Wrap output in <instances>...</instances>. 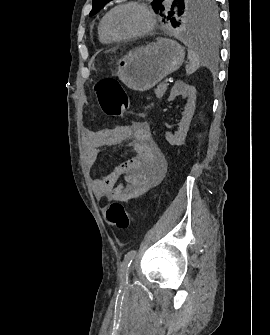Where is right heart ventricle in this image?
<instances>
[{
    "label": "right heart ventricle",
    "instance_id": "1",
    "mask_svg": "<svg viewBox=\"0 0 270 335\" xmlns=\"http://www.w3.org/2000/svg\"><path fill=\"white\" fill-rule=\"evenodd\" d=\"M98 35H99L100 41L104 44H109V43H112L114 41L105 32V30L103 28V19L100 21V24H99V27H98Z\"/></svg>",
    "mask_w": 270,
    "mask_h": 335
}]
</instances>
